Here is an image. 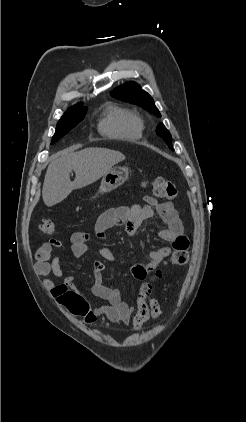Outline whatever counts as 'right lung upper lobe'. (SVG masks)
<instances>
[{"instance_id":"cb5924a9","label":"right lung upper lobe","mask_w":246,"mask_h":422,"mask_svg":"<svg viewBox=\"0 0 246 422\" xmlns=\"http://www.w3.org/2000/svg\"><path fill=\"white\" fill-rule=\"evenodd\" d=\"M73 107H82V106H81V104H77V105H75Z\"/></svg>"}]
</instances>
